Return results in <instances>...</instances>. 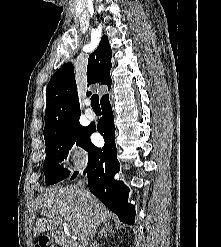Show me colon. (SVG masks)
Instances as JSON below:
<instances>
[{
    "mask_svg": "<svg viewBox=\"0 0 221 247\" xmlns=\"http://www.w3.org/2000/svg\"><path fill=\"white\" fill-rule=\"evenodd\" d=\"M36 247H54V245L50 241L44 240L36 245Z\"/></svg>",
    "mask_w": 221,
    "mask_h": 247,
    "instance_id": "obj_1",
    "label": "colon"
}]
</instances>
